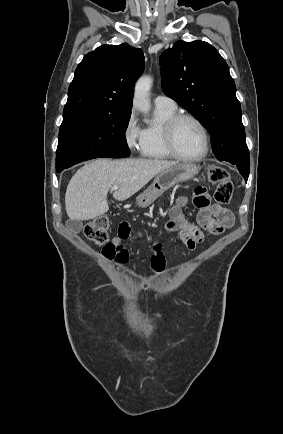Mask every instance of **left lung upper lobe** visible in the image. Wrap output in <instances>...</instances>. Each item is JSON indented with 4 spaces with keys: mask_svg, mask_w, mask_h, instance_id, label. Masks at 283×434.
<instances>
[{
    "mask_svg": "<svg viewBox=\"0 0 283 434\" xmlns=\"http://www.w3.org/2000/svg\"><path fill=\"white\" fill-rule=\"evenodd\" d=\"M160 65L163 92L208 130L216 158L250 165L235 82L219 52L204 41H178Z\"/></svg>",
    "mask_w": 283,
    "mask_h": 434,
    "instance_id": "1",
    "label": "left lung upper lobe"
}]
</instances>
